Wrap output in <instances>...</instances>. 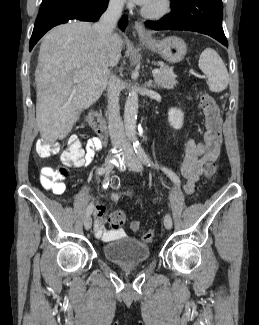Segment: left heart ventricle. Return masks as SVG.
Returning <instances> with one entry per match:
<instances>
[{"label": "left heart ventricle", "instance_id": "1", "mask_svg": "<svg viewBox=\"0 0 259 325\" xmlns=\"http://www.w3.org/2000/svg\"><path fill=\"white\" fill-rule=\"evenodd\" d=\"M155 1L156 0H152V2L149 4V6H152V7L155 6Z\"/></svg>", "mask_w": 259, "mask_h": 325}]
</instances>
